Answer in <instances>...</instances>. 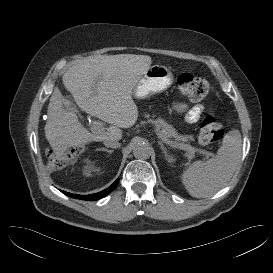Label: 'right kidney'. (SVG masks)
Wrapping results in <instances>:
<instances>
[{"label": "right kidney", "mask_w": 273, "mask_h": 273, "mask_svg": "<svg viewBox=\"0 0 273 273\" xmlns=\"http://www.w3.org/2000/svg\"><path fill=\"white\" fill-rule=\"evenodd\" d=\"M93 171H99V168H96L94 165H89V166L86 167L85 174L87 176H90Z\"/></svg>", "instance_id": "1"}]
</instances>
